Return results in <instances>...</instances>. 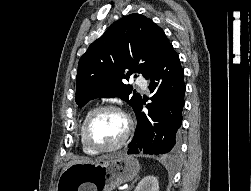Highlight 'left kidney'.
<instances>
[{"instance_id":"1","label":"left kidney","mask_w":251,"mask_h":191,"mask_svg":"<svg viewBox=\"0 0 251 191\" xmlns=\"http://www.w3.org/2000/svg\"><path fill=\"white\" fill-rule=\"evenodd\" d=\"M134 191H159V181L155 175H146L139 181Z\"/></svg>"}]
</instances>
